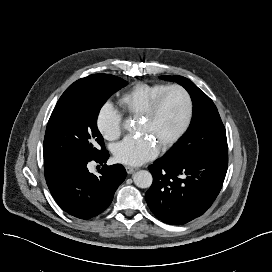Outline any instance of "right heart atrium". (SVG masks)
I'll return each mask as SVG.
<instances>
[{
	"label": "right heart atrium",
	"mask_w": 272,
	"mask_h": 272,
	"mask_svg": "<svg viewBox=\"0 0 272 272\" xmlns=\"http://www.w3.org/2000/svg\"><path fill=\"white\" fill-rule=\"evenodd\" d=\"M95 126L104 139L116 140L122 132V115L111 102L107 101L97 111Z\"/></svg>",
	"instance_id": "right-heart-atrium-1"
}]
</instances>
